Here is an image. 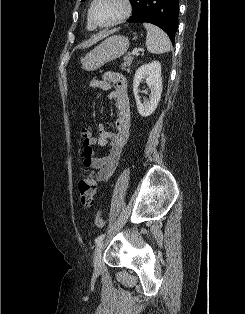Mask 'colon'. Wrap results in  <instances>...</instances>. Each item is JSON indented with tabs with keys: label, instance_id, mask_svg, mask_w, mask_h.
Instances as JSON below:
<instances>
[{
	"label": "colon",
	"instance_id": "obj_1",
	"mask_svg": "<svg viewBox=\"0 0 245 314\" xmlns=\"http://www.w3.org/2000/svg\"><path fill=\"white\" fill-rule=\"evenodd\" d=\"M79 193L84 205L88 206L92 203L96 194V180L93 172L86 174L79 181ZM95 223L99 228H103L105 226V222L100 212H97L96 214Z\"/></svg>",
	"mask_w": 245,
	"mask_h": 314
}]
</instances>
